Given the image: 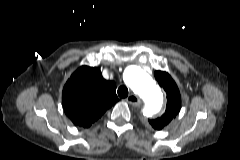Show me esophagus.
I'll return each instance as SVG.
<instances>
[{"label":"esophagus","mask_w":240,"mask_h":160,"mask_svg":"<svg viewBox=\"0 0 240 160\" xmlns=\"http://www.w3.org/2000/svg\"><path fill=\"white\" fill-rule=\"evenodd\" d=\"M126 101H127V103H129L130 105H133V106H138L141 103L139 97L137 95H135V94H130L126 98Z\"/></svg>","instance_id":"34e87169"}]
</instances>
